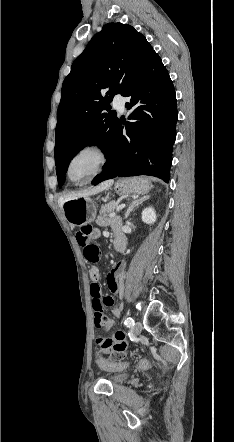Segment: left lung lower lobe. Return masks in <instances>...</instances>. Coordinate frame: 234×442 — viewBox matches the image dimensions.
I'll return each instance as SVG.
<instances>
[{
	"instance_id": "0a47b994",
	"label": "left lung lower lobe",
	"mask_w": 234,
	"mask_h": 442,
	"mask_svg": "<svg viewBox=\"0 0 234 442\" xmlns=\"http://www.w3.org/2000/svg\"><path fill=\"white\" fill-rule=\"evenodd\" d=\"M122 96L130 99L126 107L132 121H119L108 162L92 183L143 174L168 182L176 137L177 101L173 83L156 52ZM122 123L127 136L122 135Z\"/></svg>"
}]
</instances>
